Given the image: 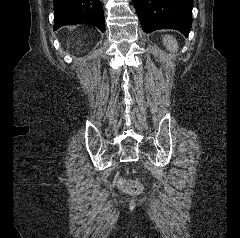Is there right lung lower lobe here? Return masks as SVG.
Returning a JSON list of instances; mask_svg holds the SVG:
<instances>
[{
	"mask_svg": "<svg viewBox=\"0 0 240 238\" xmlns=\"http://www.w3.org/2000/svg\"><path fill=\"white\" fill-rule=\"evenodd\" d=\"M54 30L78 23L92 24L104 31V13L100 0H54Z\"/></svg>",
	"mask_w": 240,
	"mask_h": 238,
	"instance_id": "obj_1",
	"label": "right lung lower lobe"
}]
</instances>
